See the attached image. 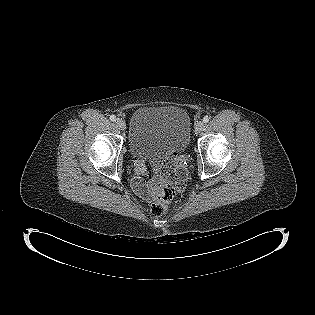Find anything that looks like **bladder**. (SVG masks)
Masks as SVG:
<instances>
[{
  "instance_id": "bladder-1",
  "label": "bladder",
  "mask_w": 315,
  "mask_h": 315,
  "mask_svg": "<svg viewBox=\"0 0 315 315\" xmlns=\"http://www.w3.org/2000/svg\"><path fill=\"white\" fill-rule=\"evenodd\" d=\"M191 121L177 106H146L137 109L130 122L129 150L137 158L182 152L189 145Z\"/></svg>"
}]
</instances>
